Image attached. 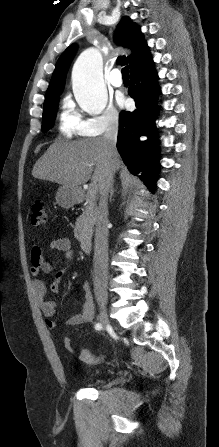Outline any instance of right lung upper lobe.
<instances>
[{"instance_id": "obj_1", "label": "right lung upper lobe", "mask_w": 219, "mask_h": 447, "mask_svg": "<svg viewBox=\"0 0 219 447\" xmlns=\"http://www.w3.org/2000/svg\"><path fill=\"white\" fill-rule=\"evenodd\" d=\"M115 41L131 49L132 54L130 56L118 57V63L121 65L129 64L130 71L142 66L151 59L148 46L142 36L140 28L130 18L123 17L121 19L115 32ZM75 52L76 45H71L58 59L45 99L62 92L66 73Z\"/></svg>"}]
</instances>
